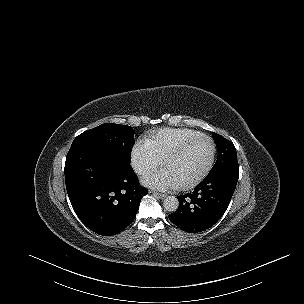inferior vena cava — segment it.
<instances>
[{
	"mask_svg": "<svg viewBox=\"0 0 304 304\" xmlns=\"http://www.w3.org/2000/svg\"><path fill=\"white\" fill-rule=\"evenodd\" d=\"M134 170L137 174L144 173L147 169L144 166H141L139 164L135 165Z\"/></svg>",
	"mask_w": 304,
	"mask_h": 304,
	"instance_id": "obj_1",
	"label": "inferior vena cava"
}]
</instances>
